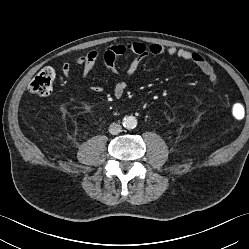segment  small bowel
<instances>
[{
	"label": "small bowel",
	"mask_w": 249,
	"mask_h": 249,
	"mask_svg": "<svg viewBox=\"0 0 249 249\" xmlns=\"http://www.w3.org/2000/svg\"><path fill=\"white\" fill-rule=\"evenodd\" d=\"M124 55H133L134 59L125 72L121 74L117 69L116 62L119 57ZM149 55H168L193 62L212 83L217 82V75L213 66L202 55L173 46L165 47L161 44H153L148 48L144 44L137 42L109 45L102 51H89L85 55L78 57L76 62L82 66V77L84 80H87L97 60L102 57L108 71L115 78L113 96L118 99L125 93L128 87V80L133 76L140 62ZM61 73L65 77L70 78L72 75V64L70 62H64L61 65ZM90 89L96 93L102 91V87L96 84H91Z\"/></svg>",
	"instance_id": "1"
}]
</instances>
